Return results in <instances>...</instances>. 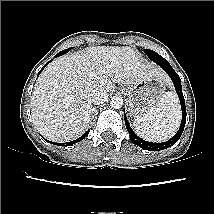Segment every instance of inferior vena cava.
<instances>
[{
    "label": "inferior vena cava",
    "mask_w": 214,
    "mask_h": 214,
    "mask_svg": "<svg viewBox=\"0 0 214 214\" xmlns=\"http://www.w3.org/2000/svg\"><path fill=\"white\" fill-rule=\"evenodd\" d=\"M108 98V94L105 90H94L89 94V101L93 104H102Z\"/></svg>",
    "instance_id": "inferior-vena-cava-1"
}]
</instances>
